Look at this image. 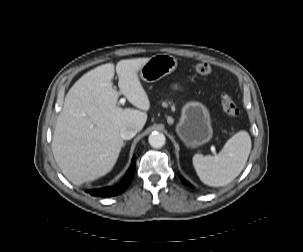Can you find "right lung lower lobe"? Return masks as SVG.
Listing matches in <instances>:
<instances>
[{
  "instance_id": "1",
  "label": "right lung lower lobe",
  "mask_w": 303,
  "mask_h": 252,
  "mask_svg": "<svg viewBox=\"0 0 303 252\" xmlns=\"http://www.w3.org/2000/svg\"><path fill=\"white\" fill-rule=\"evenodd\" d=\"M134 172H135V157H133L132 164H131L129 170L127 171L125 177L119 184H117L115 186H111V187L86 190V192H88L91 195L96 196V197H111V196L118 195V194L122 193L128 187V185L132 181Z\"/></svg>"
}]
</instances>
